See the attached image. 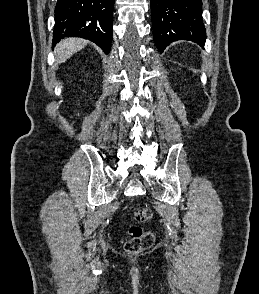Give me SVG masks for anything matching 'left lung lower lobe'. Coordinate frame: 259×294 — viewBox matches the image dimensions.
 I'll return each instance as SVG.
<instances>
[{"label":"left lung lower lobe","instance_id":"1","mask_svg":"<svg viewBox=\"0 0 259 294\" xmlns=\"http://www.w3.org/2000/svg\"><path fill=\"white\" fill-rule=\"evenodd\" d=\"M151 19L160 52L177 40L205 44L201 0H151Z\"/></svg>","mask_w":259,"mask_h":294}]
</instances>
